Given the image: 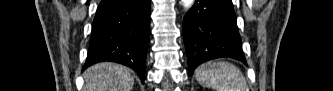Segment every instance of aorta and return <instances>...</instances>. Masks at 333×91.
Returning <instances> with one entry per match:
<instances>
[{"label": "aorta", "mask_w": 333, "mask_h": 91, "mask_svg": "<svg viewBox=\"0 0 333 91\" xmlns=\"http://www.w3.org/2000/svg\"><path fill=\"white\" fill-rule=\"evenodd\" d=\"M182 3H183L185 8H189L193 5L194 0H182Z\"/></svg>", "instance_id": "aorta-1"}]
</instances>
